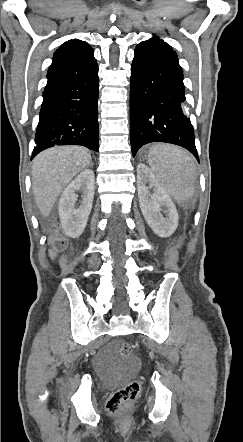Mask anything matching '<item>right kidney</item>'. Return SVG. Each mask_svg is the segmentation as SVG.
<instances>
[{
    "mask_svg": "<svg viewBox=\"0 0 243 442\" xmlns=\"http://www.w3.org/2000/svg\"><path fill=\"white\" fill-rule=\"evenodd\" d=\"M83 191V200L79 208H75L78 195ZM94 197V172L91 169L82 171L63 191L58 204L61 225L65 233L79 237L87 224Z\"/></svg>",
    "mask_w": 243,
    "mask_h": 442,
    "instance_id": "ca27d5eb",
    "label": "right kidney"
}]
</instances>
